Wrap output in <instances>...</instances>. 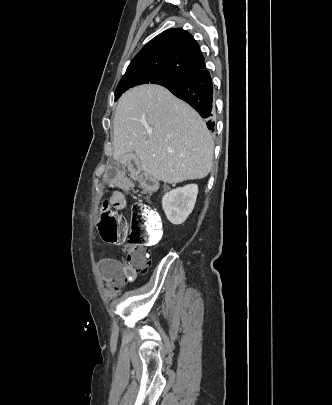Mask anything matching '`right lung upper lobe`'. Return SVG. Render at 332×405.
I'll return each instance as SVG.
<instances>
[{"instance_id":"cb5924a9","label":"right lung upper lobe","mask_w":332,"mask_h":405,"mask_svg":"<svg viewBox=\"0 0 332 405\" xmlns=\"http://www.w3.org/2000/svg\"><path fill=\"white\" fill-rule=\"evenodd\" d=\"M205 69L199 44L183 29H169L148 42L133 58L126 73L157 70L183 78Z\"/></svg>"}]
</instances>
